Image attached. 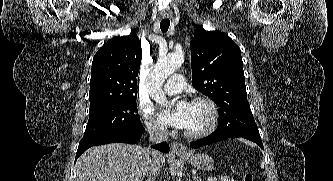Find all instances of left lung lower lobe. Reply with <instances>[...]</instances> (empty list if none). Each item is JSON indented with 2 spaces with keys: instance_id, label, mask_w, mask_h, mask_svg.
Masks as SVG:
<instances>
[{
  "instance_id": "0a47b994",
  "label": "left lung lower lobe",
  "mask_w": 333,
  "mask_h": 181,
  "mask_svg": "<svg viewBox=\"0 0 333 181\" xmlns=\"http://www.w3.org/2000/svg\"><path fill=\"white\" fill-rule=\"evenodd\" d=\"M218 122H219V124H218L217 129L211 135H209L203 139L191 142L190 143L191 147L199 148L204 145L226 140L229 138L243 137V138H246V139H249V140L255 142L262 149H264L261 138L252 137V136L243 135V134H235L233 131H234V127L236 126V123L232 119H228V118L218 119Z\"/></svg>"
}]
</instances>
